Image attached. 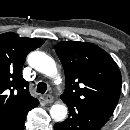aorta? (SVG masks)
<instances>
[{"label": "aorta", "mask_w": 130, "mask_h": 130, "mask_svg": "<svg viewBox=\"0 0 130 130\" xmlns=\"http://www.w3.org/2000/svg\"><path fill=\"white\" fill-rule=\"evenodd\" d=\"M28 64L37 71L48 77L59 79L55 61L44 52L33 51L27 57ZM67 106L65 104H54L50 108V116L56 121H63L67 115Z\"/></svg>", "instance_id": "1"}]
</instances>
